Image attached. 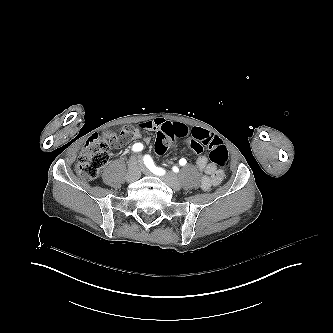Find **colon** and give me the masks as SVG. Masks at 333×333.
I'll return each mask as SVG.
<instances>
[{
	"instance_id": "colon-1",
	"label": "colon",
	"mask_w": 333,
	"mask_h": 333,
	"mask_svg": "<svg viewBox=\"0 0 333 333\" xmlns=\"http://www.w3.org/2000/svg\"><path fill=\"white\" fill-rule=\"evenodd\" d=\"M135 126L128 124L123 130H110L98 136L89 138L79 156L76 170L78 175L86 180H93L99 176L100 170L107 163L108 148L119 150L123 148L125 141L135 137ZM187 139V146L194 153H201L204 145L209 149V159L221 169L229 165L228 150L224 142L213 138L205 129L189 126L187 124L166 123L156 133L155 150L159 154H165L169 150L171 139Z\"/></svg>"
}]
</instances>
